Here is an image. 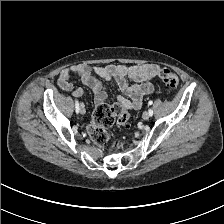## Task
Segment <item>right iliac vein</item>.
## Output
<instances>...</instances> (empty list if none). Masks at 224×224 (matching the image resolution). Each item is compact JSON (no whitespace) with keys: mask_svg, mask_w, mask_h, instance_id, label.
I'll return each instance as SVG.
<instances>
[{"mask_svg":"<svg viewBox=\"0 0 224 224\" xmlns=\"http://www.w3.org/2000/svg\"><path fill=\"white\" fill-rule=\"evenodd\" d=\"M80 113L85 114V108L83 104L80 105Z\"/></svg>","mask_w":224,"mask_h":224,"instance_id":"63e3f726","label":"right iliac vein"}]
</instances>
